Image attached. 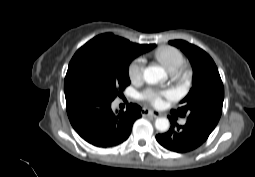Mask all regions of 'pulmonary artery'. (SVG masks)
Wrapping results in <instances>:
<instances>
[{
    "mask_svg": "<svg viewBox=\"0 0 255 177\" xmlns=\"http://www.w3.org/2000/svg\"><path fill=\"white\" fill-rule=\"evenodd\" d=\"M180 123H181L182 125H184V124L186 123V120H185V119H181Z\"/></svg>",
    "mask_w": 255,
    "mask_h": 177,
    "instance_id": "pulmonary-artery-1",
    "label": "pulmonary artery"
}]
</instances>
